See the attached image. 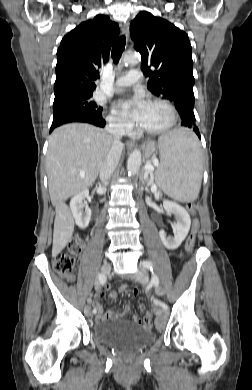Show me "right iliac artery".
Listing matches in <instances>:
<instances>
[{
  "label": "right iliac artery",
  "mask_w": 252,
  "mask_h": 390,
  "mask_svg": "<svg viewBox=\"0 0 252 390\" xmlns=\"http://www.w3.org/2000/svg\"><path fill=\"white\" fill-rule=\"evenodd\" d=\"M99 277H101V286H104V283H105V280H106V277H105V274L104 273H101V274H99ZM92 313L94 314V315H97V310L96 309H93L92 310Z\"/></svg>",
  "instance_id": "82829eb1"
}]
</instances>
